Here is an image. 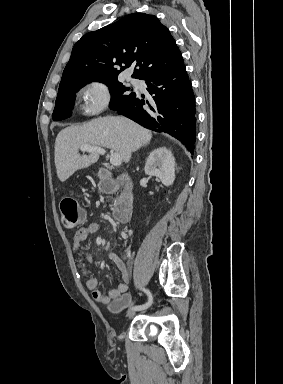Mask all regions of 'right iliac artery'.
<instances>
[{"instance_id": "right-iliac-artery-1", "label": "right iliac artery", "mask_w": 283, "mask_h": 384, "mask_svg": "<svg viewBox=\"0 0 283 384\" xmlns=\"http://www.w3.org/2000/svg\"><path fill=\"white\" fill-rule=\"evenodd\" d=\"M141 289L148 296V301L145 304H143V305H138V306H133L132 307L133 309H136L137 311L147 309L152 304V301H153V297H152L151 292L148 289H145V288H141Z\"/></svg>"}]
</instances>
